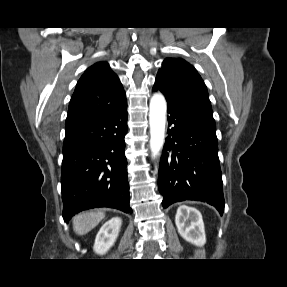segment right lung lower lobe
Wrapping results in <instances>:
<instances>
[{"label": "right lung lower lobe", "instance_id": "right-lung-lower-lobe-1", "mask_svg": "<svg viewBox=\"0 0 287 287\" xmlns=\"http://www.w3.org/2000/svg\"><path fill=\"white\" fill-rule=\"evenodd\" d=\"M126 129L127 101L111 113L66 124L61 172L65 222L96 207L132 213L124 154Z\"/></svg>", "mask_w": 287, "mask_h": 287}]
</instances>
